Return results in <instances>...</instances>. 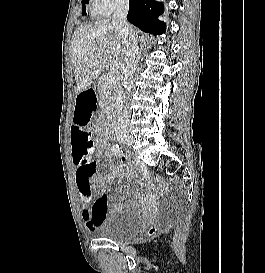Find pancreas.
Segmentation results:
<instances>
[{
	"mask_svg": "<svg viewBox=\"0 0 265 273\" xmlns=\"http://www.w3.org/2000/svg\"><path fill=\"white\" fill-rule=\"evenodd\" d=\"M118 81L119 75L117 73L113 75L103 74L99 78L98 88L101 94V99L105 103L106 108L110 109L114 102V94L118 85Z\"/></svg>",
	"mask_w": 265,
	"mask_h": 273,
	"instance_id": "pancreas-1",
	"label": "pancreas"
}]
</instances>
